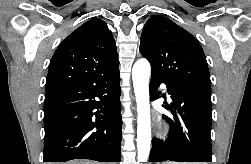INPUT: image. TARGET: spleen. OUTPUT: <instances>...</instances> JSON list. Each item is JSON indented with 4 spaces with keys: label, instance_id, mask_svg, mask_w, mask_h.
Here are the masks:
<instances>
[{
    "label": "spleen",
    "instance_id": "spleen-1",
    "mask_svg": "<svg viewBox=\"0 0 251 164\" xmlns=\"http://www.w3.org/2000/svg\"><path fill=\"white\" fill-rule=\"evenodd\" d=\"M166 164H176V163H172V162H170V163H166Z\"/></svg>",
    "mask_w": 251,
    "mask_h": 164
}]
</instances>
